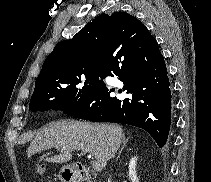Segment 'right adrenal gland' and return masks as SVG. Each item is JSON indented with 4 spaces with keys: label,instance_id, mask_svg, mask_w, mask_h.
<instances>
[{
    "label": "right adrenal gland",
    "instance_id": "right-adrenal-gland-1",
    "mask_svg": "<svg viewBox=\"0 0 211 182\" xmlns=\"http://www.w3.org/2000/svg\"><path fill=\"white\" fill-rule=\"evenodd\" d=\"M127 141H128V139H124L123 144H122V147H121V149L119 151V154H118L117 159L120 157V154L123 151L124 147L126 146Z\"/></svg>",
    "mask_w": 211,
    "mask_h": 182
}]
</instances>
